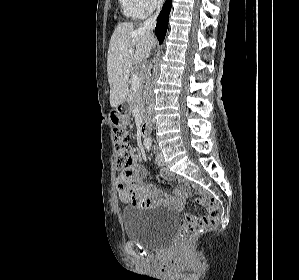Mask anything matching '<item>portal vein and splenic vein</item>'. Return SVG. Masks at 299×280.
I'll use <instances>...</instances> for the list:
<instances>
[{"label":"portal vein and splenic vein","mask_w":299,"mask_h":280,"mask_svg":"<svg viewBox=\"0 0 299 280\" xmlns=\"http://www.w3.org/2000/svg\"><path fill=\"white\" fill-rule=\"evenodd\" d=\"M131 87L133 90H137L141 87V80L138 76L133 75Z\"/></svg>","instance_id":"1"}]
</instances>
